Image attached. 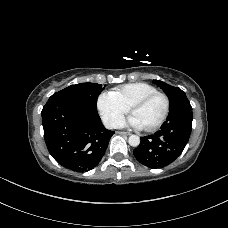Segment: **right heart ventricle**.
Here are the masks:
<instances>
[{"mask_svg":"<svg viewBox=\"0 0 228 228\" xmlns=\"http://www.w3.org/2000/svg\"><path fill=\"white\" fill-rule=\"evenodd\" d=\"M158 91L157 88L146 82H135L122 85L114 89L112 94L128 109L141 97Z\"/></svg>","mask_w":228,"mask_h":228,"instance_id":"obj_1","label":"right heart ventricle"}]
</instances>
